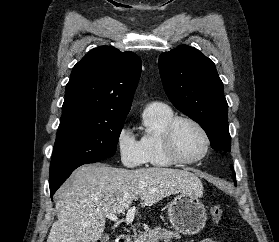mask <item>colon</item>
I'll list each match as a JSON object with an SVG mask.
<instances>
[{
  "instance_id": "colon-1",
  "label": "colon",
  "mask_w": 279,
  "mask_h": 242,
  "mask_svg": "<svg viewBox=\"0 0 279 242\" xmlns=\"http://www.w3.org/2000/svg\"><path fill=\"white\" fill-rule=\"evenodd\" d=\"M210 217L215 224H219L223 218V209L218 205L212 206L210 209Z\"/></svg>"
}]
</instances>
